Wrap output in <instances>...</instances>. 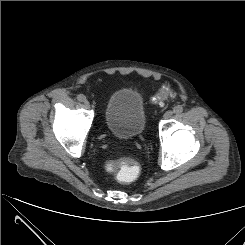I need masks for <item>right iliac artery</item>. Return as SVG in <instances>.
Listing matches in <instances>:
<instances>
[{
    "label": "right iliac artery",
    "mask_w": 245,
    "mask_h": 245,
    "mask_svg": "<svg viewBox=\"0 0 245 245\" xmlns=\"http://www.w3.org/2000/svg\"><path fill=\"white\" fill-rule=\"evenodd\" d=\"M77 99L80 101V102H84L86 100V97L83 95V94H79L77 96Z\"/></svg>",
    "instance_id": "1"
}]
</instances>
